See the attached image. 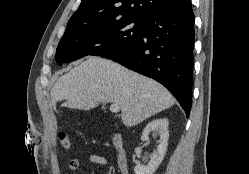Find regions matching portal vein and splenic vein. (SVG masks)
<instances>
[{
  "label": "portal vein and splenic vein",
  "instance_id": "18ae733b",
  "mask_svg": "<svg viewBox=\"0 0 249 174\" xmlns=\"http://www.w3.org/2000/svg\"><path fill=\"white\" fill-rule=\"evenodd\" d=\"M109 109L113 113H118L120 111V107L117 104H112Z\"/></svg>",
  "mask_w": 249,
  "mask_h": 174
}]
</instances>
